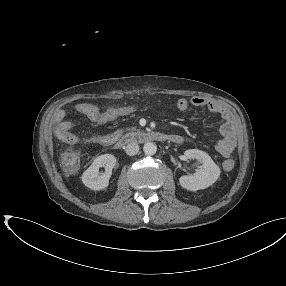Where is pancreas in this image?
Segmentation results:
<instances>
[{"label": "pancreas", "instance_id": "pancreas-1", "mask_svg": "<svg viewBox=\"0 0 286 286\" xmlns=\"http://www.w3.org/2000/svg\"><path fill=\"white\" fill-rule=\"evenodd\" d=\"M135 127L129 128L128 131H134ZM131 132H129L128 134H130Z\"/></svg>", "mask_w": 286, "mask_h": 286}]
</instances>
